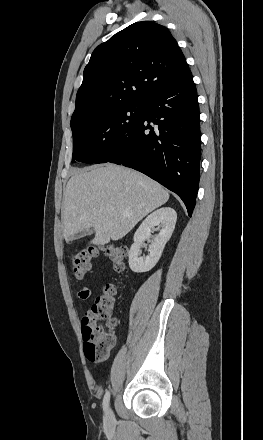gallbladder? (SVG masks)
Listing matches in <instances>:
<instances>
[{
    "label": "gallbladder",
    "instance_id": "bac80fb5",
    "mask_svg": "<svg viewBox=\"0 0 263 440\" xmlns=\"http://www.w3.org/2000/svg\"><path fill=\"white\" fill-rule=\"evenodd\" d=\"M93 233H94V229H93V228L83 229V230L77 232L76 234L70 236V237L67 239V242L74 241V240H76V239H79V238L84 237V236H87V235H92Z\"/></svg>",
    "mask_w": 263,
    "mask_h": 440
}]
</instances>
